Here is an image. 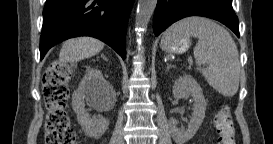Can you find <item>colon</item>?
<instances>
[{"label":"colon","instance_id":"5ec220e1","mask_svg":"<svg viewBox=\"0 0 273 144\" xmlns=\"http://www.w3.org/2000/svg\"><path fill=\"white\" fill-rule=\"evenodd\" d=\"M71 72L64 65L52 64L42 74L43 95L48 111L46 144H74L76 133L67 113L68 80ZM218 144H235V129L231 109L223 105L214 118Z\"/></svg>","mask_w":273,"mask_h":144}]
</instances>
